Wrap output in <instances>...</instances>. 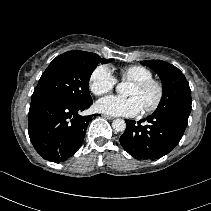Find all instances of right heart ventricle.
Segmentation results:
<instances>
[{"instance_id":"e07e8e85","label":"right heart ventricle","mask_w":211,"mask_h":211,"mask_svg":"<svg viewBox=\"0 0 211 211\" xmlns=\"http://www.w3.org/2000/svg\"><path fill=\"white\" fill-rule=\"evenodd\" d=\"M150 69L142 65H130L120 70V77L123 81H140L152 78Z\"/></svg>"}]
</instances>
